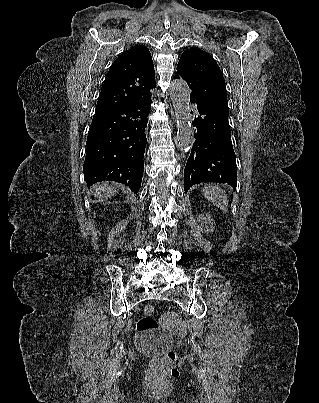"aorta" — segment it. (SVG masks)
<instances>
[{
	"instance_id": "aorta-1",
	"label": "aorta",
	"mask_w": 319,
	"mask_h": 403,
	"mask_svg": "<svg viewBox=\"0 0 319 403\" xmlns=\"http://www.w3.org/2000/svg\"><path fill=\"white\" fill-rule=\"evenodd\" d=\"M169 92L175 110L178 145L181 150L188 151L195 141L189 109L190 89L184 80L174 79Z\"/></svg>"
}]
</instances>
